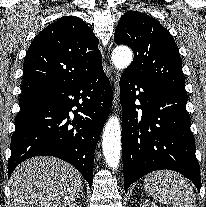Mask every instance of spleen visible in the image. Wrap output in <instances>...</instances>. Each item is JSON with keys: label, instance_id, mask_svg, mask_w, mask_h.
Segmentation results:
<instances>
[{"label": "spleen", "instance_id": "obj_1", "mask_svg": "<svg viewBox=\"0 0 206 207\" xmlns=\"http://www.w3.org/2000/svg\"><path fill=\"white\" fill-rule=\"evenodd\" d=\"M146 192L156 201L173 207H196L189 181L177 172H152L144 178Z\"/></svg>", "mask_w": 206, "mask_h": 207}]
</instances>
